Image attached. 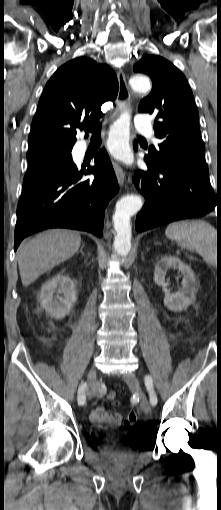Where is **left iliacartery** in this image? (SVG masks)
Returning a JSON list of instances; mask_svg holds the SVG:
<instances>
[{"mask_svg": "<svg viewBox=\"0 0 221 510\" xmlns=\"http://www.w3.org/2000/svg\"><path fill=\"white\" fill-rule=\"evenodd\" d=\"M145 385L149 392L150 403L152 406H155L157 404L158 400H157L156 393L153 392V381H152L151 376H149V375L145 376Z\"/></svg>", "mask_w": 221, "mask_h": 510, "instance_id": "left-iliac-artery-1", "label": "left iliac artery"}]
</instances>
